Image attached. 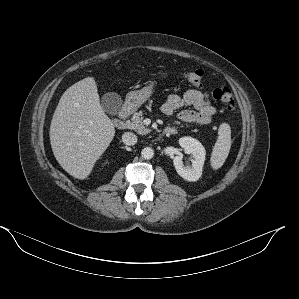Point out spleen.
<instances>
[{
    "mask_svg": "<svg viewBox=\"0 0 299 299\" xmlns=\"http://www.w3.org/2000/svg\"><path fill=\"white\" fill-rule=\"evenodd\" d=\"M218 139L213 147L210 163L214 170L221 168L228 157L231 147V128L228 123H222L218 129Z\"/></svg>",
    "mask_w": 299,
    "mask_h": 299,
    "instance_id": "spleen-1",
    "label": "spleen"
}]
</instances>
